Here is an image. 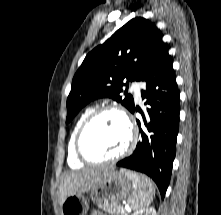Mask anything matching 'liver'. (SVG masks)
<instances>
[{"mask_svg": "<svg viewBox=\"0 0 221 215\" xmlns=\"http://www.w3.org/2000/svg\"><path fill=\"white\" fill-rule=\"evenodd\" d=\"M112 170L113 169L109 167H98L67 174L62 179L59 187L60 205L70 195L90 192L97 187Z\"/></svg>", "mask_w": 221, "mask_h": 215, "instance_id": "1", "label": "liver"}]
</instances>
